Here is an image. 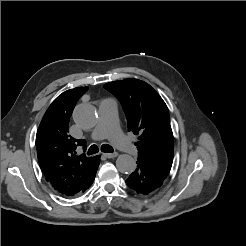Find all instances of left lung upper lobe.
Segmentation results:
<instances>
[{
    "mask_svg": "<svg viewBox=\"0 0 246 246\" xmlns=\"http://www.w3.org/2000/svg\"><path fill=\"white\" fill-rule=\"evenodd\" d=\"M104 88L121 102L128 131L139 135L135 143L138 162H144L168 175L173 162V133L168 108L160 95L138 79L114 81Z\"/></svg>",
    "mask_w": 246,
    "mask_h": 246,
    "instance_id": "obj_1",
    "label": "left lung upper lobe"
}]
</instances>
